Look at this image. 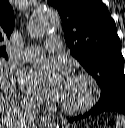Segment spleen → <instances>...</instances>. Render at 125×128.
<instances>
[{
	"mask_svg": "<svg viewBox=\"0 0 125 128\" xmlns=\"http://www.w3.org/2000/svg\"><path fill=\"white\" fill-rule=\"evenodd\" d=\"M116 128H125V116L119 115L116 120Z\"/></svg>",
	"mask_w": 125,
	"mask_h": 128,
	"instance_id": "obj_1",
	"label": "spleen"
}]
</instances>
